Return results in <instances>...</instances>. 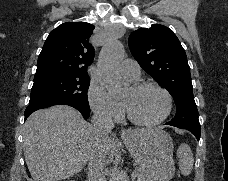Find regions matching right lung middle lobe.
Instances as JSON below:
<instances>
[{"label": "right lung middle lobe", "instance_id": "dd1d6c3e", "mask_svg": "<svg viewBox=\"0 0 228 181\" xmlns=\"http://www.w3.org/2000/svg\"><path fill=\"white\" fill-rule=\"evenodd\" d=\"M89 77L51 74L34 78L29 105L46 102H65L90 111L87 92Z\"/></svg>", "mask_w": 228, "mask_h": 181}]
</instances>
